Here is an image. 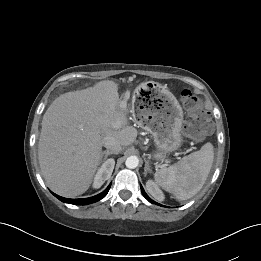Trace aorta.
<instances>
[{"mask_svg": "<svg viewBox=\"0 0 261 261\" xmlns=\"http://www.w3.org/2000/svg\"><path fill=\"white\" fill-rule=\"evenodd\" d=\"M139 164V159L137 156H129L126 161H125V165L127 168L129 169H134L138 166Z\"/></svg>", "mask_w": 261, "mask_h": 261, "instance_id": "1", "label": "aorta"}]
</instances>
